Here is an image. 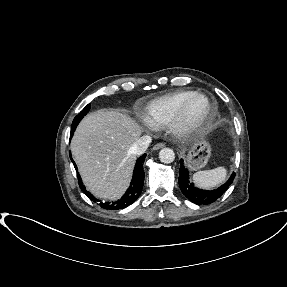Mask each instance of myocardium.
Segmentation results:
<instances>
[{
    "instance_id": "myocardium-1",
    "label": "myocardium",
    "mask_w": 287,
    "mask_h": 287,
    "mask_svg": "<svg viewBox=\"0 0 287 287\" xmlns=\"http://www.w3.org/2000/svg\"><path fill=\"white\" fill-rule=\"evenodd\" d=\"M195 100H204L207 106L199 118L191 119L189 111ZM214 114V102L203 93H194L181 105L175 116L168 123V126L174 136L188 138L204 129L214 117Z\"/></svg>"
}]
</instances>
